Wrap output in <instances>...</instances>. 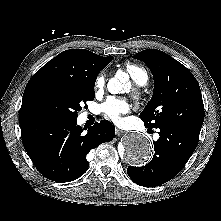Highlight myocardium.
<instances>
[{
    "label": "myocardium",
    "instance_id": "f54148a6",
    "mask_svg": "<svg viewBox=\"0 0 221 221\" xmlns=\"http://www.w3.org/2000/svg\"><path fill=\"white\" fill-rule=\"evenodd\" d=\"M133 96L135 98H138L140 96V92L138 91V89H136V88L133 89Z\"/></svg>",
    "mask_w": 221,
    "mask_h": 221
}]
</instances>
